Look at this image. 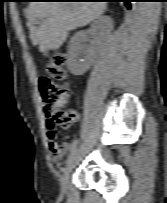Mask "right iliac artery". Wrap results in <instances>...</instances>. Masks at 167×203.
Returning a JSON list of instances; mask_svg holds the SVG:
<instances>
[{"label": "right iliac artery", "mask_w": 167, "mask_h": 203, "mask_svg": "<svg viewBox=\"0 0 167 203\" xmlns=\"http://www.w3.org/2000/svg\"><path fill=\"white\" fill-rule=\"evenodd\" d=\"M77 144H78V140H74L72 145H71V148H70V152H69V155H68V160L73 155V153L75 152Z\"/></svg>", "instance_id": "82829eb1"}]
</instances>
